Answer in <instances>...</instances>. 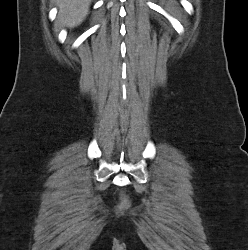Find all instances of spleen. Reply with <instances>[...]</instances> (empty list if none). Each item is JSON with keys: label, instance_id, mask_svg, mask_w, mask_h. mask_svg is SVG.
Segmentation results:
<instances>
[{"label": "spleen", "instance_id": "1", "mask_svg": "<svg viewBox=\"0 0 248 250\" xmlns=\"http://www.w3.org/2000/svg\"><path fill=\"white\" fill-rule=\"evenodd\" d=\"M174 4H175V1L174 0H170L168 3H167V7L171 10H174Z\"/></svg>", "mask_w": 248, "mask_h": 250}]
</instances>
